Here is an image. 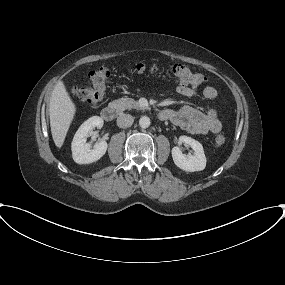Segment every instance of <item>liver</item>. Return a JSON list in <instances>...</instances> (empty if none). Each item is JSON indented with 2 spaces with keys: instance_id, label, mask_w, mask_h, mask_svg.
I'll return each mask as SVG.
<instances>
[{
  "instance_id": "6515ba94",
  "label": "liver",
  "mask_w": 285,
  "mask_h": 285,
  "mask_svg": "<svg viewBox=\"0 0 285 285\" xmlns=\"http://www.w3.org/2000/svg\"><path fill=\"white\" fill-rule=\"evenodd\" d=\"M75 113L76 106L63 81H59L52 91L49 103L50 127L56 147H62Z\"/></svg>"
}]
</instances>
